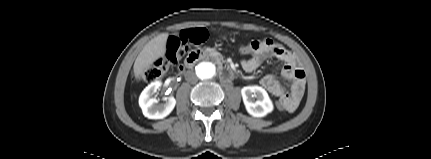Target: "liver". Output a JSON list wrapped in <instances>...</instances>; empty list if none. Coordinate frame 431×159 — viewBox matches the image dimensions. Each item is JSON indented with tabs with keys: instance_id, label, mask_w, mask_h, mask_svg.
I'll return each mask as SVG.
<instances>
[{
	"instance_id": "1",
	"label": "liver",
	"mask_w": 431,
	"mask_h": 159,
	"mask_svg": "<svg viewBox=\"0 0 431 159\" xmlns=\"http://www.w3.org/2000/svg\"><path fill=\"white\" fill-rule=\"evenodd\" d=\"M168 36V33H162L150 40L143 47L133 66L134 75L137 79H139L156 60L165 55Z\"/></svg>"
}]
</instances>
